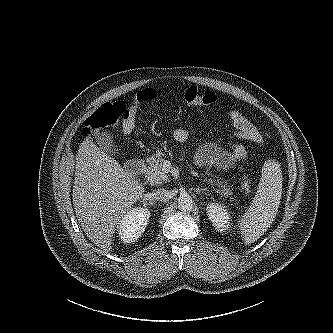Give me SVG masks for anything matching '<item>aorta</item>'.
<instances>
[{"label": "aorta", "mask_w": 333, "mask_h": 333, "mask_svg": "<svg viewBox=\"0 0 333 333\" xmlns=\"http://www.w3.org/2000/svg\"><path fill=\"white\" fill-rule=\"evenodd\" d=\"M178 208L182 212H190L193 209V200L188 194H182L178 198Z\"/></svg>", "instance_id": "aorta-1"}]
</instances>
